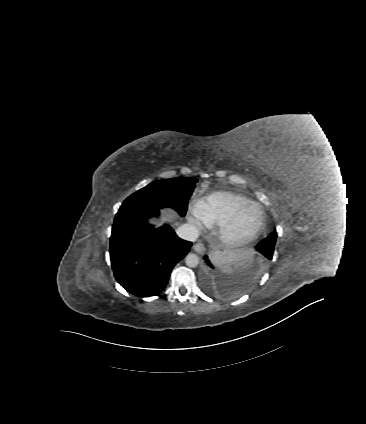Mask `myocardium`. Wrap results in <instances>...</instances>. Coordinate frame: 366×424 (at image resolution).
Masks as SVG:
<instances>
[{"label": "myocardium", "mask_w": 366, "mask_h": 424, "mask_svg": "<svg viewBox=\"0 0 366 424\" xmlns=\"http://www.w3.org/2000/svg\"><path fill=\"white\" fill-rule=\"evenodd\" d=\"M250 208L258 211V221L255 228L248 234L240 235L237 233V225L243 214ZM265 225V217L262 209L255 203H248L237 209L233 215L218 226L216 230V239L218 243L225 248H239L253 242L261 234Z\"/></svg>", "instance_id": "f54148a6"}]
</instances>
